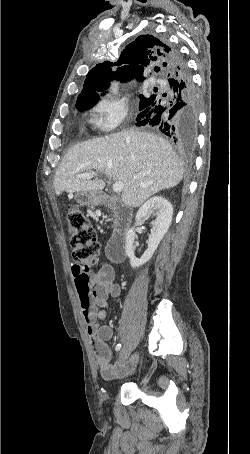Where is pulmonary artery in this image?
Returning a JSON list of instances; mask_svg holds the SVG:
<instances>
[{
	"label": "pulmonary artery",
	"mask_w": 250,
	"mask_h": 454,
	"mask_svg": "<svg viewBox=\"0 0 250 454\" xmlns=\"http://www.w3.org/2000/svg\"><path fill=\"white\" fill-rule=\"evenodd\" d=\"M151 83L156 84V83H158V81L155 80V79H152V80H151Z\"/></svg>",
	"instance_id": "e3ab8cb5"
}]
</instances>
